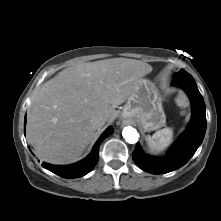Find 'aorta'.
Listing matches in <instances>:
<instances>
[{
  "mask_svg": "<svg viewBox=\"0 0 221 221\" xmlns=\"http://www.w3.org/2000/svg\"><path fill=\"white\" fill-rule=\"evenodd\" d=\"M123 138L126 140V142L130 144H134L139 139V133L137 130L131 126H127L122 131Z\"/></svg>",
  "mask_w": 221,
  "mask_h": 221,
  "instance_id": "aorta-1",
  "label": "aorta"
}]
</instances>
